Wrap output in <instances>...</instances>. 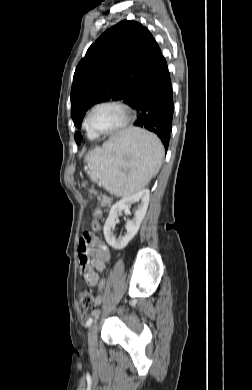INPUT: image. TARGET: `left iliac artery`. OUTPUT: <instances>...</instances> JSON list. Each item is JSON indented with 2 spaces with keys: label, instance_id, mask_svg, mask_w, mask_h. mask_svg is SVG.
Listing matches in <instances>:
<instances>
[{
  "label": "left iliac artery",
  "instance_id": "obj_1",
  "mask_svg": "<svg viewBox=\"0 0 252 390\" xmlns=\"http://www.w3.org/2000/svg\"><path fill=\"white\" fill-rule=\"evenodd\" d=\"M93 323V319L92 318H89L86 322V326H91V324Z\"/></svg>",
  "mask_w": 252,
  "mask_h": 390
}]
</instances>
